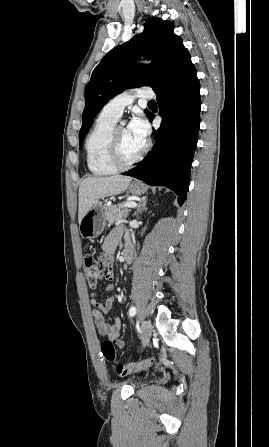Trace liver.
I'll return each instance as SVG.
<instances>
[{"label": "liver", "instance_id": "1", "mask_svg": "<svg viewBox=\"0 0 269 447\" xmlns=\"http://www.w3.org/2000/svg\"><path fill=\"white\" fill-rule=\"evenodd\" d=\"M132 178L109 176V178H85L79 186L78 222L100 198L115 196L127 190Z\"/></svg>", "mask_w": 269, "mask_h": 447}]
</instances>
